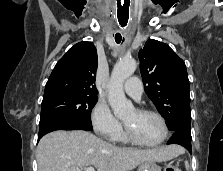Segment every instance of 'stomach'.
<instances>
[{"mask_svg": "<svg viewBox=\"0 0 223 171\" xmlns=\"http://www.w3.org/2000/svg\"><path fill=\"white\" fill-rule=\"evenodd\" d=\"M137 171H161L154 161H146L139 165Z\"/></svg>", "mask_w": 223, "mask_h": 171, "instance_id": "obj_1", "label": "stomach"}]
</instances>
